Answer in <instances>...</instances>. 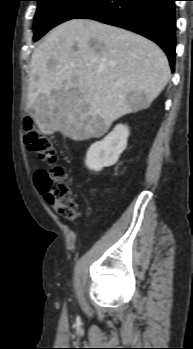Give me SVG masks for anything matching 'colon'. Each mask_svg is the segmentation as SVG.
Masks as SVG:
<instances>
[{"label": "colon", "mask_w": 193, "mask_h": 349, "mask_svg": "<svg viewBox=\"0 0 193 349\" xmlns=\"http://www.w3.org/2000/svg\"><path fill=\"white\" fill-rule=\"evenodd\" d=\"M24 142L38 157L50 165L46 171H38L35 184L45 200L63 217L74 219L76 216V202L73 192L67 183V172L58 163L52 140L41 132L31 118L23 122Z\"/></svg>", "instance_id": "1"}]
</instances>
